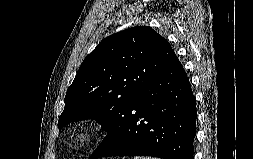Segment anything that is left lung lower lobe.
Instances as JSON below:
<instances>
[{"instance_id": "1", "label": "left lung lower lobe", "mask_w": 253, "mask_h": 159, "mask_svg": "<svg viewBox=\"0 0 253 159\" xmlns=\"http://www.w3.org/2000/svg\"><path fill=\"white\" fill-rule=\"evenodd\" d=\"M196 104L189 79L177 56L123 112L116 130L90 159L153 156L193 159Z\"/></svg>"}]
</instances>
